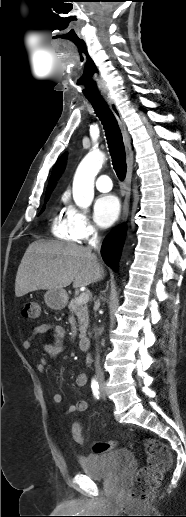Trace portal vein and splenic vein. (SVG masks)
<instances>
[{
    "instance_id": "18ae733b",
    "label": "portal vein and splenic vein",
    "mask_w": 186,
    "mask_h": 517,
    "mask_svg": "<svg viewBox=\"0 0 186 517\" xmlns=\"http://www.w3.org/2000/svg\"><path fill=\"white\" fill-rule=\"evenodd\" d=\"M88 300H89V294L86 292H83L79 295L76 302H77V304H82V303H87Z\"/></svg>"
}]
</instances>
